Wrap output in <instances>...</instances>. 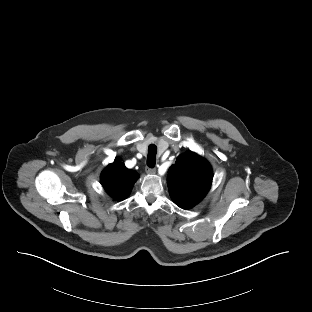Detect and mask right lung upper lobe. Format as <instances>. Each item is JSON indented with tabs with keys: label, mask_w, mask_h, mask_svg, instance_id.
I'll return each instance as SVG.
<instances>
[{
	"label": "right lung upper lobe",
	"mask_w": 312,
	"mask_h": 312,
	"mask_svg": "<svg viewBox=\"0 0 312 312\" xmlns=\"http://www.w3.org/2000/svg\"><path fill=\"white\" fill-rule=\"evenodd\" d=\"M139 175L136 171L127 169L120 159H115L101 174L104 189L116 200L125 199Z\"/></svg>",
	"instance_id": "cb5924a9"
}]
</instances>
